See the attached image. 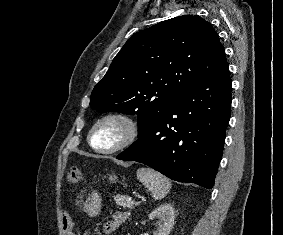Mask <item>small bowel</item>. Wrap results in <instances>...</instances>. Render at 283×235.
<instances>
[{
    "instance_id": "1",
    "label": "small bowel",
    "mask_w": 283,
    "mask_h": 235,
    "mask_svg": "<svg viewBox=\"0 0 283 235\" xmlns=\"http://www.w3.org/2000/svg\"><path fill=\"white\" fill-rule=\"evenodd\" d=\"M128 217L129 215L127 212H116L112 219L103 225V232L105 235H113L128 219ZM63 225L64 228L70 230L69 235H75V233L72 232V221L68 214H64Z\"/></svg>"
}]
</instances>
